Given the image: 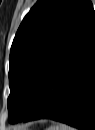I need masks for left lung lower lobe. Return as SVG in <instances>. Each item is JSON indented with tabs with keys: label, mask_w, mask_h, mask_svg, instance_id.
I'll list each match as a JSON object with an SVG mask.
<instances>
[{
	"label": "left lung lower lobe",
	"mask_w": 95,
	"mask_h": 130,
	"mask_svg": "<svg viewBox=\"0 0 95 130\" xmlns=\"http://www.w3.org/2000/svg\"><path fill=\"white\" fill-rule=\"evenodd\" d=\"M42 118L81 130L95 128V16L53 66L34 104L19 121Z\"/></svg>",
	"instance_id": "0a47b994"
}]
</instances>
